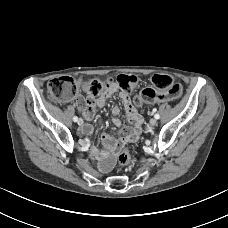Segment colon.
Segmentation results:
<instances>
[{
    "label": "colon",
    "instance_id": "1",
    "mask_svg": "<svg viewBox=\"0 0 228 228\" xmlns=\"http://www.w3.org/2000/svg\"><path fill=\"white\" fill-rule=\"evenodd\" d=\"M135 75L122 74L116 79L117 85L126 93L132 91L137 84ZM153 87L143 89L134 98L135 106L145 103L173 101L181 96V86L166 74H156L152 77ZM114 84L111 78L91 79L88 81L75 80L71 77H59L52 79L47 86L50 99L55 102H67L79 97L81 91L86 92L89 97L97 98ZM118 160L122 165H130L132 160L127 149L120 152Z\"/></svg>",
    "mask_w": 228,
    "mask_h": 228
}]
</instances>
